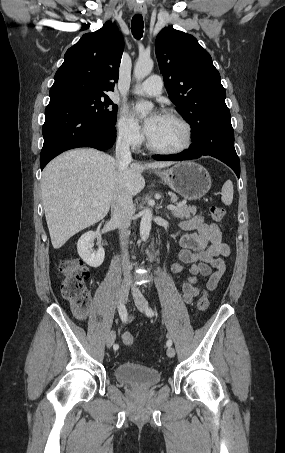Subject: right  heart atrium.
<instances>
[{"label":"right heart atrium","instance_id":"1","mask_svg":"<svg viewBox=\"0 0 285 453\" xmlns=\"http://www.w3.org/2000/svg\"><path fill=\"white\" fill-rule=\"evenodd\" d=\"M116 132L118 140L132 149L139 148L143 142L139 124L124 110L118 116Z\"/></svg>","mask_w":285,"mask_h":453}]
</instances>
